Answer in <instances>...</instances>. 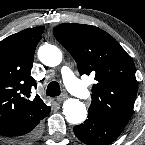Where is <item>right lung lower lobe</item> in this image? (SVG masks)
<instances>
[{
    "instance_id": "obj_1",
    "label": "right lung lower lobe",
    "mask_w": 145,
    "mask_h": 145,
    "mask_svg": "<svg viewBox=\"0 0 145 145\" xmlns=\"http://www.w3.org/2000/svg\"><path fill=\"white\" fill-rule=\"evenodd\" d=\"M50 111L51 108L47 106L41 115L26 125L12 129H0V138L16 143H28L33 141L39 134L40 120L46 117Z\"/></svg>"
}]
</instances>
